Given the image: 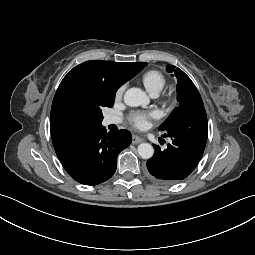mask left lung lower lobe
Here are the masks:
<instances>
[{
    "label": "left lung lower lobe",
    "instance_id": "1",
    "mask_svg": "<svg viewBox=\"0 0 255 255\" xmlns=\"http://www.w3.org/2000/svg\"><path fill=\"white\" fill-rule=\"evenodd\" d=\"M208 122L204 107L185 116L165 131L171 137L167 149L155 146L147 161L151 176L161 183L172 184L187 178L198 165L207 141Z\"/></svg>",
    "mask_w": 255,
    "mask_h": 255
}]
</instances>
